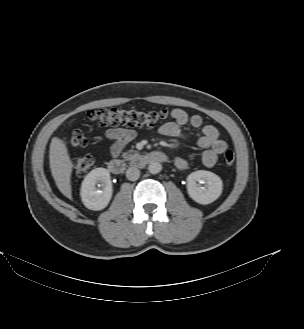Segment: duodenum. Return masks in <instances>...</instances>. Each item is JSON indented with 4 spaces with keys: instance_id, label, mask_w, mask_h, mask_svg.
<instances>
[{
    "instance_id": "obj_1",
    "label": "duodenum",
    "mask_w": 304,
    "mask_h": 329,
    "mask_svg": "<svg viewBox=\"0 0 304 329\" xmlns=\"http://www.w3.org/2000/svg\"><path fill=\"white\" fill-rule=\"evenodd\" d=\"M168 157L160 151L149 152H133L127 156L126 160L112 159L108 163V168L113 174H122L127 163H131L136 167H142L149 163L165 162Z\"/></svg>"
}]
</instances>
